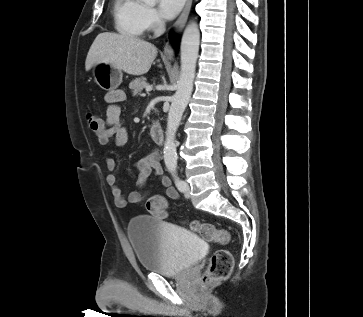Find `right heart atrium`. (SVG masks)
<instances>
[{
  "label": "right heart atrium",
  "instance_id": "d8ad5b80",
  "mask_svg": "<svg viewBox=\"0 0 363 317\" xmlns=\"http://www.w3.org/2000/svg\"><path fill=\"white\" fill-rule=\"evenodd\" d=\"M145 23L149 31L157 32L163 27V21L154 8L145 9Z\"/></svg>",
  "mask_w": 363,
  "mask_h": 317
}]
</instances>
